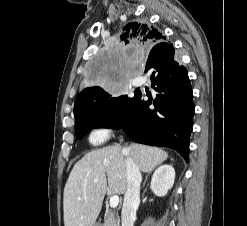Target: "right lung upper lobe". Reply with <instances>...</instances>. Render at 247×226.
<instances>
[{
	"instance_id": "cb5924a9",
	"label": "right lung upper lobe",
	"mask_w": 247,
	"mask_h": 226,
	"mask_svg": "<svg viewBox=\"0 0 247 226\" xmlns=\"http://www.w3.org/2000/svg\"><path fill=\"white\" fill-rule=\"evenodd\" d=\"M119 40L120 45L139 44L143 45L144 47H152L165 43L166 37L159 30L145 22H129L123 27ZM100 89L101 88L98 86L87 87L83 89L75 102L74 113L75 108H77L79 103H81L86 98H89Z\"/></svg>"
}]
</instances>
